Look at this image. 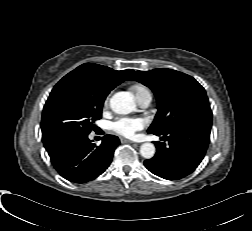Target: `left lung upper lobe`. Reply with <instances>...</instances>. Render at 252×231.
Here are the masks:
<instances>
[{
	"mask_svg": "<svg viewBox=\"0 0 252 231\" xmlns=\"http://www.w3.org/2000/svg\"><path fill=\"white\" fill-rule=\"evenodd\" d=\"M129 80L149 87L158 102V112L148 133L161 135L192 121L212 124V111L204 88L191 76L171 69L136 71Z\"/></svg>",
	"mask_w": 252,
	"mask_h": 231,
	"instance_id": "obj_1",
	"label": "left lung upper lobe"
}]
</instances>
